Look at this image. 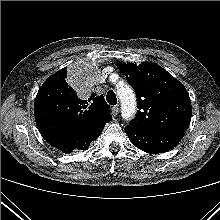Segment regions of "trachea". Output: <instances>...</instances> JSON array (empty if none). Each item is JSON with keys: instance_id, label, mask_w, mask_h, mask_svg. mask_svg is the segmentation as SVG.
Masks as SVG:
<instances>
[{"instance_id": "obj_1", "label": "trachea", "mask_w": 220, "mask_h": 220, "mask_svg": "<svg viewBox=\"0 0 220 220\" xmlns=\"http://www.w3.org/2000/svg\"><path fill=\"white\" fill-rule=\"evenodd\" d=\"M106 100L107 102L110 104V105H116L117 104V98H116V95L115 93L110 90L108 91L107 95H106Z\"/></svg>"}]
</instances>
